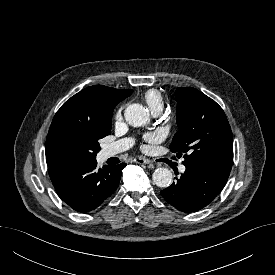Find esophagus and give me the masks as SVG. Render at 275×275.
Segmentation results:
<instances>
[{
	"mask_svg": "<svg viewBox=\"0 0 275 275\" xmlns=\"http://www.w3.org/2000/svg\"><path fill=\"white\" fill-rule=\"evenodd\" d=\"M135 162L138 164H149L151 163V161L149 159L146 158H136Z\"/></svg>",
	"mask_w": 275,
	"mask_h": 275,
	"instance_id": "34e87169",
	"label": "esophagus"
}]
</instances>
